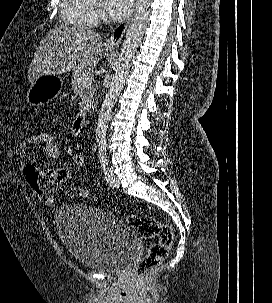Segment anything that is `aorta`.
I'll return each mask as SVG.
<instances>
[{"label":"aorta","mask_w":272,"mask_h":303,"mask_svg":"<svg viewBox=\"0 0 272 303\" xmlns=\"http://www.w3.org/2000/svg\"><path fill=\"white\" fill-rule=\"evenodd\" d=\"M151 0H138L134 16L123 41L116 71L111 86L102 103L96 127V141L99 146L105 145V136L110 121L112 109L120 95L128 76L131 59L140 45L150 13Z\"/></svg>","instance_id":"aorta-1"}]
</instances>
